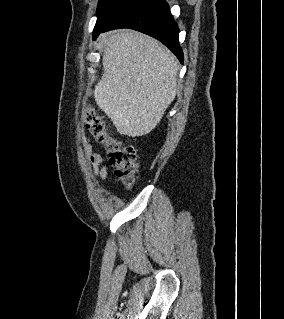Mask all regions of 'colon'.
<instances>
[{"label": "colon", "mask_w": 284, "mask_h": 319, "mask_svg": "<svg viewBox=\"0 0 284 319\" xmlns=\"http://www.w3.org/2000/svg\"><path fill=\"white\" fill-rule=\"evenodd\" d=\"M85 125L93 137L104 145L108 161L114 167L118 180L126 187H131L138 171L135 147L112 137L104 120L93 113L86 114Z\"/></svg>", "instance_id": "5ec220e1"}]
</instances>
